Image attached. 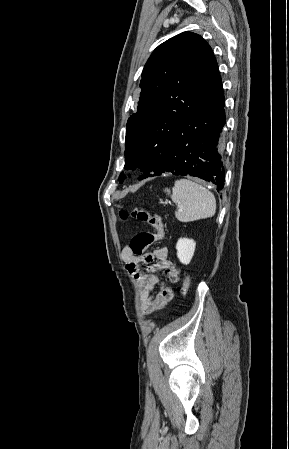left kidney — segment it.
<instances>
[{
	"instance_id": "left-kidney-1",
	"label": "left kidney",
	"mask_w": 289,
	"mask_h": 449,
	"mask_svg": "<svg viewBox=\"0 0 289 449\" xmlns=\"http://www.w3.org/2000/svg\"><path fill=\"white\" fill-rule=\"evenodd\" d=\"M196 243L192 239L188 238H180L176 244L177 249V257L179 258L182 264H189L194 252H195Z\"/></svg>"
}]
</instances>
